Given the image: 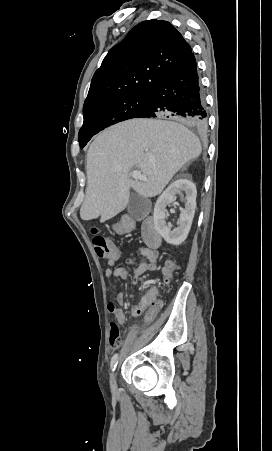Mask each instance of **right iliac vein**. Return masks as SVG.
Segmentation results:
<instances>
[{
	"label": "right iliac vein",
	"mask_w": 272,
	"mask_h": 451,
	"mask_svg": "<svg viewBox=\"0 0 272 451\" xmlns=\"http://www.w3.org/2000/svg\"><path fill=\"white\" fill-rule=\"evenodd\" d=\"M115 379H116V374L115 373L111 374L110 386H111L112 391H114L116 389V381H115Z\"/></svg>",
	"instance_id": "obj_1"
}]
</instances>
